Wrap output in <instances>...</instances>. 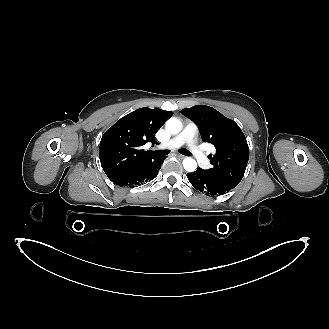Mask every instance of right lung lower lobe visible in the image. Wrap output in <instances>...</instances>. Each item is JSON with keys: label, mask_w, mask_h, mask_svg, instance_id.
<instances>
[{"label": "right lung lower lobe", "mask_w": 329, "mask_h": 329, "mask_svg": "<svg viewBox=\"0 0 329 329\" xmlns=\"http://www.w3.org/2000/svg\"><path fill=\"white\" fill-rule=\"evenodd\" d=\"M165 158L166 157H158L154 161L143 166L134 174L113 181V183L120 187H134L136 185H141L147 181H151L157 176L161 168V164L165 160Z\"/></svg>", "instance_id": "1"}]
</instances>
